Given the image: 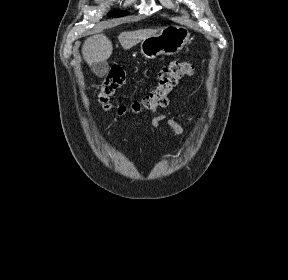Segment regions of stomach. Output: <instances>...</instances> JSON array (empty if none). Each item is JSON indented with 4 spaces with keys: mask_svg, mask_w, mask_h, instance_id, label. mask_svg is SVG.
<instances>
[{
    "mask_svg": "<svg viewBox=\"0 0 288 280\" xmlns=\"http://www.w3.org/2000/svg\"><path fill=\"white\" fill-rule=\"evenodd\" d=\"M190 33L184 27L171 25L163 28L155 36L148 37L141 42V54L147 59H154L160 55H174L188 42Z\"/></svg>",
    "mask_w": 288,
    "mask_h": 280,
    "instance_id": "obj_1",
    "label": "stomach"
}]
</instances>
